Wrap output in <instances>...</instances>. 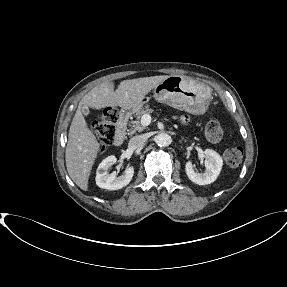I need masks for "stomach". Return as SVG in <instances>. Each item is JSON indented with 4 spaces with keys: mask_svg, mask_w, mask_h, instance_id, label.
<instances>
[{
    "mask_svg": "<svg viewBox=\"0 0 287 287\" xmlns=\"http://www.w3.org/2000/svg\"><path fill=\"white\" fill-rule=\"evenodd\" d=\"M153 97L156 101L176 109L200 115L208 109L211 101V90L202 82L180 75H171L154 88ZM146 101L147 98L145 97L142 105ZM141 106L122 107L121 112H133Z\"/></svg>",
    "mask_w": 287,
    "mask_h": 287,
    "instance_id": "obj_1",
    "label": "stomach"
}]
</instances>
